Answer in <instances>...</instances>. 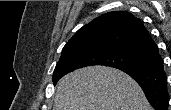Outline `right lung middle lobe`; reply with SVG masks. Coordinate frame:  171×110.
I'll use <instances>...</instances> for the list:
<instances>
[{"instance_id": "1", "label": "right lung middle lobe", "mask_w": 171, "mask_h": 110, "mask_svg": "<svg viewBox=\"0 0 171 110\" xmlns=\"http://www.w3.org/2000/svg\"><path fill=\"white\" fill-rule=\"evenodd\" d=\"M157 57L125 46L109 43H87L62 50L53 73L54 85L65 74L86 66L105 65L120 70L143 69L155 64Z\"/></svg>"}]
</instances>
